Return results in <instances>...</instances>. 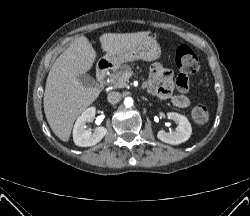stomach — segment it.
<instances>
[{
    "label": "stomach",
    "instance_id": "obj_1",
    "mask_svg": "<svg viewBox=\"0 0 250 216\" xmlns=\"http://www.w3.org/2000/svg\"><path fill=\"white\" fill-rule=\"evenodd\" d=\"M161 48L152 37H147L141 42L114 54H106L104 60L116 68L122 63L134 60L154 61L161 58Z\"/></svg>",
    "mask_w": 250,
    "mask_h": 216
}]
</instances>
